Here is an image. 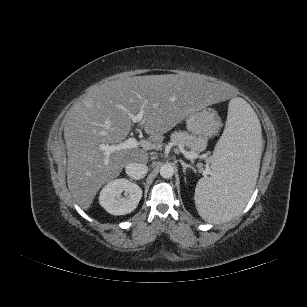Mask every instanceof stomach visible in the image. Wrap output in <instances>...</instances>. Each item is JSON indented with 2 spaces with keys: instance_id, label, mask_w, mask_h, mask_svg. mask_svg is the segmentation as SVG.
<instances>
[{
  "instance_id": "1",
  "label": "stomach",
  "mask_w": 307,
  "mask_h": 307,
  "mask_svg": "<svg viewBox=\"0 0 307 307\" xmlns=\"http://www.w3.org/2000/svg\"><path fill=\"white\" fill-rule=\"evenodd\" d=\"M220 126V117L212 109L196 110L186 117L187 130L195 135L211 137L219 130Z\"/></svg>"
}]
</instances>
